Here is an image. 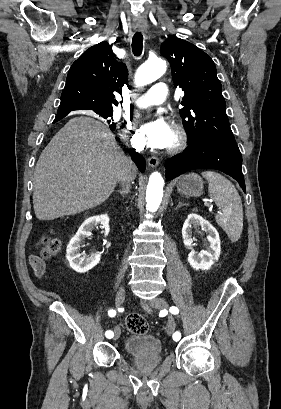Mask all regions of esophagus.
Wrapping results in <instances>:
<instances>
[{
  "instance_id": "obj_1",
  "label": "esophagus",
  "mask_w": 281,
  "mask_h": 409,
  "mask_svg": "<svg viewBox=\"0 0 281 409\" xmlns=\"http://www.w3.org/2000/svg\"><path fill=\"white\" fill-rule=\"evenodd\" d=\"M148 165L154 169L159 165V159L157 157H150L148 159Z\"/></svg>"
}]
</instances>
